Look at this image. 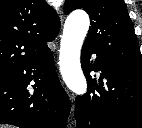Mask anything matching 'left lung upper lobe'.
<instances>
[{"mask_svg": "<svg viewBox=\"0 0 142 128\" xmlns=\"http://www.w3.org/2000/svg\"><path fill=\"white\" fill-rule=\"evenodd\" d=\"M85 10L90 28L84 42L114 66L142 72V55L123 0H66L64 12Z\"/></svg>", "mask_w": 142, "mask_h": 128, "instance_id": "5c2ea615", "label": "left lung upper lobe"}]
</instances>
